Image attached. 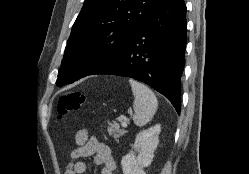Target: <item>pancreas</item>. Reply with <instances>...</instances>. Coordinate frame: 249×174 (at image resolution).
<instances>
[{"instance_id":"obj_1","label":"pancreas","mask_w":249,"mask_h":174,"mask_svg":"<svg viewBox=\"0 0 249 174\" xmlns=\"http://www.w3.org/2000/svg\"><path fill=\"white\" fill-rule=\"evenodd\" d=\"M109 135H111L114 139H118L122 135H124V129L120 128V125L117 123H109L107 127Z\"/></svg>"}]
</instances>
